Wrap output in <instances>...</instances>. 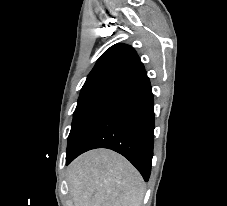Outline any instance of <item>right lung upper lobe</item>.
<instances>
[{
  "label": "right lung upper lobe",
  "instance_id": "cb5924a9",
  "mask_svg": "<svg viewBox=\"0 0 227 206\" xmlns=\"http://www.w3.org/2000/svg\"><path fill=\"white\" fill-rule=\"evenodd\" d=\"M147 75L136 51L126 44H115L98 59L89 73L84 86L106 81L119 80L128 83Z\"/></svg>",
  "mask_w": 227,
  "mask_h": 206
}]
</instances>
